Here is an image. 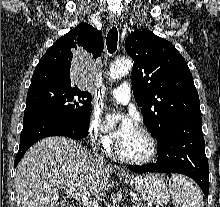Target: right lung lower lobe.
<instances>
[{"instance_id": "obj_1", "label": "right lung lower lobe", "mask_w": 220, "mask_h": 207, "mask_svg": "<svg viewBox=\"0 0 220 207\" xmlns=\"http://www.w3.org/2000/svg\"><path fill=\"white\" fill-rule=\"evenodd\" d=\"M89 122H82L44 112L24 115L19 151L15 157L17 166L28 148L38 140L49 136H65L76 140L88 134Z\"/></svg>"}]
</instances>
